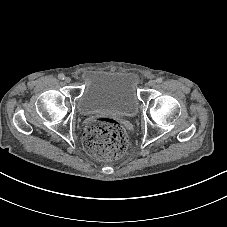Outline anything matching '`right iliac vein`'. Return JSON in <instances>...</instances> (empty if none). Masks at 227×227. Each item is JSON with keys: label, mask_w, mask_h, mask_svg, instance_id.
<instances>
[{"label": "right iliac vein", "mask_w": 227, "mask_h": 227, "mask_svg": "<svg viewBox=\"0 0 227 227\" xmlns=\"http://www.w3.org/2000/svg\"><path fill=\"white\" fill-rule=\"evenodd\" d=\"M65 82L69 83L71 81V78L70 77H65Z\"/></svg>", "instance_id": "63e3f726"}]
</instances>
